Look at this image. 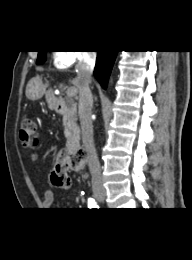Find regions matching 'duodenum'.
<instances>
[{
	"label": "duodenum",
	"instance_id": "410a0bca",
	"mask_svg": "<svg viewBox=\"0 0 192 260\" xmlns=\"http://www.w3.org/2000/svg\"><path fill=\"white\" fill-rule=\"evenodd\" d=\"M56 110L60 114L66 115L71 120L70 132L67 141V151L72 154H76L81 151L80 144V130L77 125H75L72 121V114L63 104L58 103L56 105Z\"/></svg>",
	"mask_w": 192,
	"mask_h": 260
}]
</instances>
